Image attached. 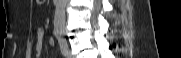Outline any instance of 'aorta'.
I'll return each mask as SVG.
<instances>
[{
    "mask_svg": "<svg viewBox=\"0 0 181 58\" xmlns=\"http://www.w3.org/2000/svg\"><path fill=\"white\" fill-rule=\"evenodd\" d=\"M67 0H58L54 14V32L63 33L65 31V13Z\"/></svg>",
    "mask_w": 181,
    "mask_h": 58,
    "instance_id": "aorta-1",
    "label": "aorta"
}]
</instances>
